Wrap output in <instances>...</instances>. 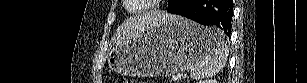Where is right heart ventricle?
I'll use <instances>...</instances> for the list:
<instances>
[{"mask_svg":"<svg viewBox=\"0 0 307 83\" xmlns=\"http://www.w3.org/2000/svg\"><path fill=\"white\" fill-rule=\"evenodd\" d=\"M143 7H149V5H144Z\"/></svg>","mask_w":307,"mask_h":83,"instance_id":"obj_1","label":"right heart ventricle"}]
</instances>
